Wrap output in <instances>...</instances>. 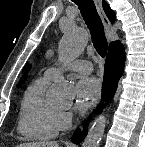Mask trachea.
<instances>
[{
	"mask_svg": "<svg viewBox=\"0 0 145 147\" xmlns=\"http://www.w3.org/2000/svg\"><path fill=\"white\" fill-rule=\"evenodd\" d=\"M87 24L93 45L101 57L107 53V39L104 33L102 21L97 13L93 0H74Z\"/></svg>",
	"mask_w": 145,
	"mask_h": 147,
	"instance_id": "obj_1",
	"label": "trachea"
}]
</instances>
